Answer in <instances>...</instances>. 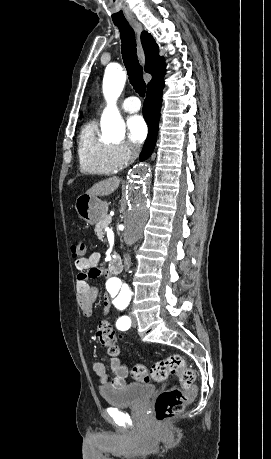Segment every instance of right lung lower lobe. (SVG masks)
Instances as JSON below:
<instances>
[{"label":"right lung lower lobe","instance_id":"right-lung-lower-lobe-1","mask_svg":"<svg viewBox=\"0 0 271 459\" xmlns=\"http://www.w3.org/2000/svg\"><path fill=\"white\" fill-rule=\"evenodd\" d=\"M163 76L148 85L143 115L148 124L149 133L140 155V161L148 159L155 148L162 106Z\"/></svg>","mask_w":271,"mask_h":459}]
</instances>
